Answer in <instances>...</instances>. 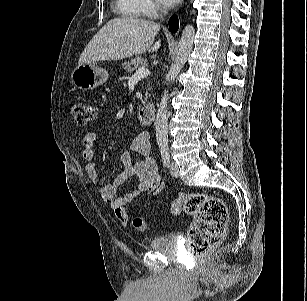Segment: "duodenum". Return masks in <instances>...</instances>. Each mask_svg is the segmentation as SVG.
<instances>
[{"label": "duodenum", "instance_id": "obj_1", "mask_svg": "<svg viewBox=\"0 0 307 301\" xmlns=\"http://www.w3.org/2000/svg\"><path fill=\"white\" fill-rule=\"evenodd\" d=\"M138 121L144 125H150L154 122L156 118V108L154 105H146L139 109Z\"/></svg>", "mask_w": 307, "mask_h": 301}]
</instances>
